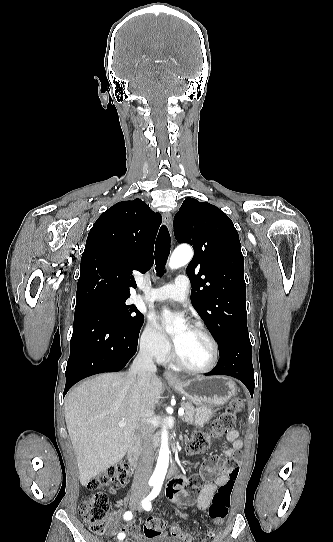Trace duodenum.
<instances>
[{
    "label": "duodenum",
    "mask_w": 333,
    "mask_h": 542,
    "mask_svg": "<svg viewBox=\"0 0 333 542\" xmlns=\"http://www.w3.org/2000/svg\"><path fill=\"white\" fill-rule=\"evenodd\" d=\"M140 446H141L140 439H139V437H136L131 442V444L129 445L128 450H127V459H128L129 464L133 468H137L139 466V462H140ZM178 472H179L178 466L176 464H172L170 466V469H169V476L170 477L176 476L178 474Z\"/></svg>",
    "instance_id": "1"
}]
</instances>
